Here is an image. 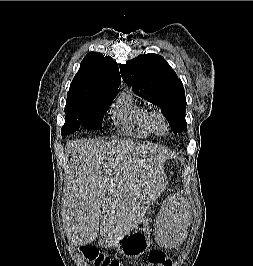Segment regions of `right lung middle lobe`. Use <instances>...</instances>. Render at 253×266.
<instances>
[{"label":"right lung middle lobe","instance_id":"1","mask_svg":"<svg viewBox=\"0 0 253 266\" xmlns=\"http://www.w3.org/2000/svg\"><path fill=\"white\" fill-rule=\"evenodd\" d=\"M115 97L111 96L88 103L66 104L65 112L67 116L62 127V134L76 131L80 124L87 129H100L104 114Z\"/></svg>","mask_w":253,"mask_h":266}]
</instances>
